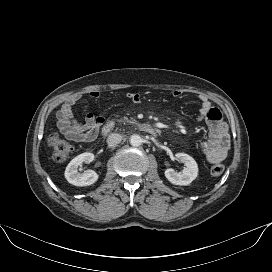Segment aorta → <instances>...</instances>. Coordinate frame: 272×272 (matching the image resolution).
Segmentation results:
<instances>
[{
  "instance_id": "1",
  "label": "aorta",
  "mask_w": 272,
  "mask_h": 272,
  "mask_svg": "<svg viewBox=\"0 0 272 272\" xmlns=\"http://www.w3.org/2000/svg\"><path fill=\"white\" fill-rule=\"evenodd\" d=\"M130 144L134 147L140 146L142 144V138L139 135L134 134L130 137Z\"/></svg>"
}]
</instances>
